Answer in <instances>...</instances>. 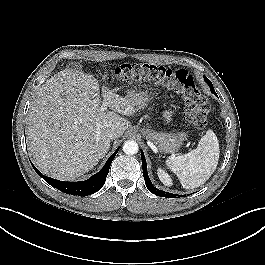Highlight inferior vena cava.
I'll return each mask as SVG.
<instances>
[{
    "instance_id": "602c4592",
    "label": "inferior vena cava",
    "mask_w": 265,
    "mask_h": 265,
    "mask_svg": "<svg viewBox=\"0 0 265 265\" xmlns=\"http://www.w3.org/2000/svg\"><path fill=\"white\" fill-rule=\"evenodd\" d=\"M108 139H115L118 137V134L114 130H110L106 133Z\"/></svg>"
}]
</instances>
